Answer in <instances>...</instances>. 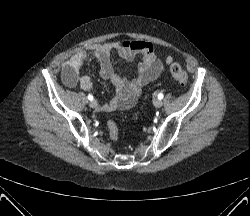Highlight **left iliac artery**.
<instances>
[{
  "label": "left iliac artery",
  "instance_id": "44dca946",
  "mask_svg": "<svg viewBox=\"0 0 250 216\" xmlns=\"http://www.w3.org/2000/svg\"><path fill=\"white\" fill-rule=\"evenodd\" d=\"M162 98H163V94L162 93L158 94V99H162Z\"/></svg>",
  "mask_w": 250,
  "mask_h": 216
}]
</instances>
